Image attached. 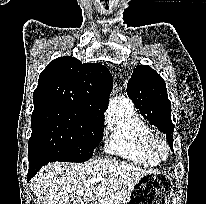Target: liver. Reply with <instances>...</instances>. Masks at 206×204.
<instances>
[{
    "mask_svg": "<svg viewBox=\"0 0 206 204\" xmlns=\"http://www.w3.org/2000/svg\"><path fill=\"white\" fill-rule=\"evenodd\" d=\"M151 171L114 159L81 164L51 163L31 180L36 204H122L137 181ZM102 177L97 187L95 178Z\"/></svg>",
    "mask_w": 206,
    "mask_h": 204,
    "instance_id": "liver-1",
    "label": "liver"
}]
</instances>
